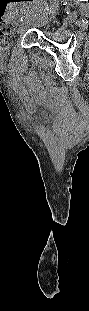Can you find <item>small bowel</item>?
Here are the masks:
<instances>
[{
	"label": "small bowel",
	"instance_id": "obj_1",
	"mask_svg": "<svg viewBox=\"0 0 89 311\" xmlns=\"http://www.w3.org/2000/svg\"><path fill=\"white\" fill-rule=\"evenodd\" d=\"M16 16H17V14H15V13H10V14L8 15V19L14 20V19L16 18Z\"/></svg>",
	"mask_w": 89,
	"mask_h": 311
}]
</instances>
